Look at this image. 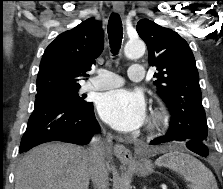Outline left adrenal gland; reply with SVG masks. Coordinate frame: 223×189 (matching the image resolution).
<instances>
[{"mask_svg":"<svg viewBox=\"0 0 223 189\" xmlns=\"http://www.w3.org/2000/svg\"><path fill=\"white\" fill-rule=\"evenodd\" d=\"M143 189H147V187L146 186H143Z\"/></svg>","mask_w":223,"mask_h":189,"instance_id":"1","label":"left adrenal gland"}]
</instances>
